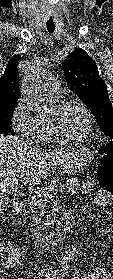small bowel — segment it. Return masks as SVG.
<instances>
[{
  "label": "small bowel",
  "mask_w": 113,
  "mask_h": 279,
  "mask_svg": "<svg viewBox=\"0 0 113 279\" xmlns=\"http://www.w3.org/2000/svg\"><path fill=\"white\" fill-rule=\"evenodd\" d=\"M94 190V182L88 181L84 184L83 193L85 195L90 194ZM113 201V196L109 194H100L94 199V204L98 206H102L105 203ZM19 265V261H12L9 266L17 267ZM73 279H113V274L108 272L104 268H96L90 272H84L82 270L76 269L73 271L72 275Z\"/></svg>",
  "instance_id": "small-bowel-1"
}]
</instances>
